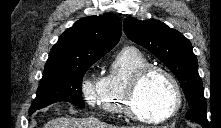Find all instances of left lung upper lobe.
<instances>
[{
  "label": "left lung upper lobe",
  "instance_id": "5c2ea615",
  "mask_svg": "<svg viewBox=\"0 0 221 128\" xmlns=\"http://www.w3.org/2000/svg\"><path fill=\"white\" fill-rule=\"evenodd\" d=\"M123 28L130 40L149 50L177 77L190 106L185 118L209 124L197 58L190 41L159 20L127 17Z\"/></svg>",
  "mask_w": 221,
  "mask_h": 128
}]
</instances>
